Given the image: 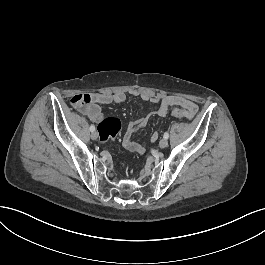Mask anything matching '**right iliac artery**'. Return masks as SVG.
<instances>
[{"instance_id":"1","label":"right iliac artery","mask_w":265,"mask_h":265,"mask_svg":"<svg viewBox=\"0 0 265 265\" xmlns=\"http://www.w3.org/2000/svg\"><path fill=\"white\" fill-rule=\"evenodd\" d=\"M90 131H91V132L95 131V126H94V125H91V126H90Z\"/></svg>"}]
</instances>
